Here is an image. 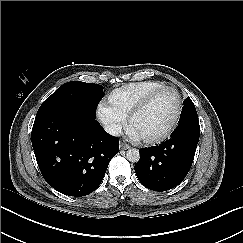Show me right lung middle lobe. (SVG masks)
Instances as JSON below:
<instances>
[{
	"label": "right lung middle lobe",
	"mask_w": 243,
	"mask_h": 243,
	"mask_svg": "<svg viewBox=\"0 0 243 243\" xmlns=\"http://www.w3.org/2000/svg\"><path fill=\"white\" fill-rule=\"evenodd\" d=\"M103 96V87L99 84L71 81L60 86L42 103L39 110L54 104L74 103L95 119L96 106Z\"/></svg>",
	"instance_id": "1"
}]
</instances>
